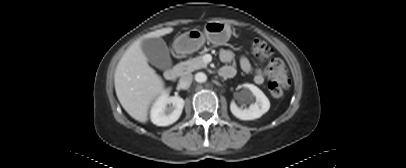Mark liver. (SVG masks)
<instances>
[{
  "label": "liver",
  "mask_w": 406,
  "mask_h": 168,
  "mask_svg": "<svg viewBox=\"0 0 406 168\" xmlns=\"http://www.w3.org/2000/svg\"><path fill=\"white\" fill-rule=\"evenodd\" d=\"M173 31L163 28L135 41L117 64L114 84L117 98L125 111L135 120L146 123L152 102L164 93V81L148 64L141 43L144 39L159 38Z\"/></svg>",
  "instance_id": "6515ba94"
}]
</instances>
